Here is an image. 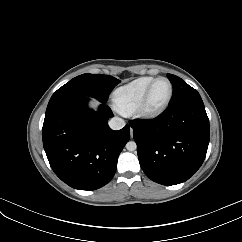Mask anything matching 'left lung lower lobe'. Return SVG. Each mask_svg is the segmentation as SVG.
I'll list each match as a JSON object with an SVG mask.
<instances>
[{
	"label": "left lung lower lobe",
	"mask_w": 242,
	"mask_h": 242,
	"mask_svg": "<svg viewBox=\"0 0 242 242\" xmlns=\"http://www.w3.org/2000/svg\"><path fill=\"white\" fill-rule=\"evenodd\" d=\"M129 123L140 166L151 180L167 186L179 184L202 165L210 130L201 97L169 105L154 119Z\"/></svg>",
	"instance_id": "1"
}]
</instances>
